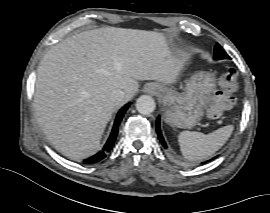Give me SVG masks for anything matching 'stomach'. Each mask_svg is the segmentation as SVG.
Instances as JSON below:
<instances>
[{
  "label": "stomach",
  "mask_w": 270,
  "mask_h": 213,
  "mask_svg": "<svg viewBox=\"0 0 270 213\" xmlns=\"http://www.w3.org/2000/svg\"><path fill=\"white\" fill-rule=\"evenodd\" d=\"M157 85L165 122L173 127L191 129L204 115L215 90V78L208 72H197L186 82L182 93L169 86Z\"/></svg>",
  "instance_id": "stomach-1"
}]
</instances>
